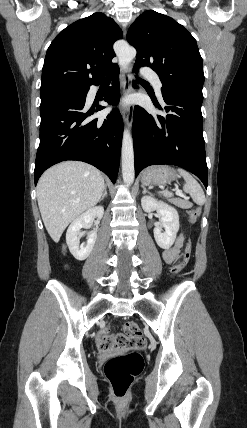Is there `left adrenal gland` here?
Returning <instances> with one entry per match:
<instances>
[{"mask_svg": "<svg viewBox=\"0 0 247 428\" xmlns=\"http://www.w3.org/2000/svg\"><path fill=\"white\" fill-rule=\"evenodd\" d=\"M141 187L143 188V193L149 192L144 185H141Z\"/></svg>", "mask_w": 247, "mask_h": 428, "instance_id": "a2214340", "label": "left adrenal gland"}]
</instances>
